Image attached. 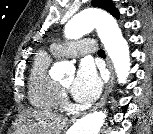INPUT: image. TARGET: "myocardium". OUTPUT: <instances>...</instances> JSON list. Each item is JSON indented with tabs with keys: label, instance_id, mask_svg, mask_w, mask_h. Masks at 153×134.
Returning <instances> with one entry per match:
<instances>
[{
	"label": "myocardium",
	"instance_id": "f54148a6",
	"mask_svg": "<svg viewBox=\"0 0 153 134\" xmlns=\"http://www.w3.org/2000/svg\"><path fill=\"white\" fill-rule=\"evenodd\" d=\"M60 87H61V89L64 90V91L67 89V88H66L65 86H63V85H60Z\"/></svg>",
	"mask_w": 153,
	"mask_h": 134
}]
</instances>
